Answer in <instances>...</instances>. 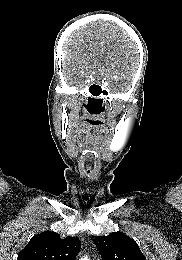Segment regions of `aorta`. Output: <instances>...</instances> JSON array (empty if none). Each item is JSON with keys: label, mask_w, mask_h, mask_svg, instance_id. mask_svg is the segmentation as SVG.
I'll list each match as a JSON object with an SVG mask.
<instances>
[{"label": "aorta", "mask_w": 182, "mask_h": 260, "mask_svg": "<svg viewBox=\"0 0 182 260\" xmlns=\"http://www.w3.org/2000/svg\"><path fill=\"white\" fill-rule=\"evenodd\" d=\"M81 260H89L87 257L82 258Z\"/></svg>", "instance_id": "1"}]
</instances>
